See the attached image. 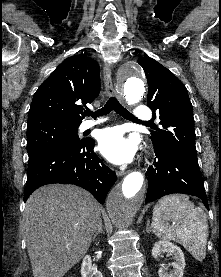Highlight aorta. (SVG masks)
<instances>
[{
    "label": "aorta",
    "mask_w": 221,
    "mask_h": 277,
    "mask_svg": "<svg viewBox=\"0 0 221 277\" xmlns=\"http://www.w3.org/2000/svg\"><path fill=\"white\" fill-rule=\"evenodd\" d=\"M119 89L128 104L138 103L145 93V76L142 68L128 64L118 75ZM144 176L141 172L129 173L124 180L109 193L106 208L113 224L119 230H126L144 200Z\"/></svg>",
    "instance_id": "obj_1"
}]
</instances>
